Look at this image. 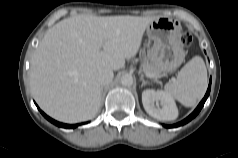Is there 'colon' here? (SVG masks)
<instances>
[{
	"instance_id": "obj_1",
	"label": "colon",
	"mask_w": 238,
	"mask_h": 158,
	"mask_svg": "<svg viewBox=\"0 0 238 158\" xmlns=\"http://www.w3.org/2000/svg\"><path fill=\"white\" fill-rule=\"evenodd\" d=\"M180 41L184 46H189L192 42V37L187 32H182L180 35Z\"/></svg>"
}]
</instances>
